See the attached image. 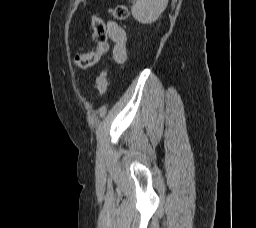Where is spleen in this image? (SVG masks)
<instances>
[{
    "mask_svg": "<svg viewBox=\"0 0 256 228\" xmlns=\"http://www.w3.org/2000/svg\"><path fill=\"white\" fill-rule=\"evenodd\" d=\"M167 4L168 0H136L131 13L139 23L151 24L159 18Z\"/></svg>",
    "mask_w": 256,
    "mask_h": 228,
    "instance_id": "spleen-1",
    "label": "spleen"
}]
</instances>
